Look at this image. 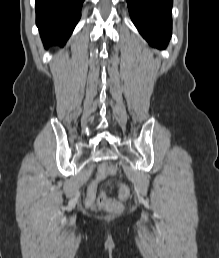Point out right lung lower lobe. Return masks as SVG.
Here are the masks:
<instances>
[{
    "instance_id": "98d812e1",
    "label": "right lung lower lobe",
    "mask_w": 219,
    "mask_h": 258,
    "mask_svg": "<svg viewBox=\"0 0 219 258\" xmlns=\"http://www.w3.org/2000/svg\"><path fill=\"white\" fill-rule=\"evenodd\" d=\"M84 0H36V24L45 47L64 46L81 17Z\"/></svg>"
}]
</instances>
